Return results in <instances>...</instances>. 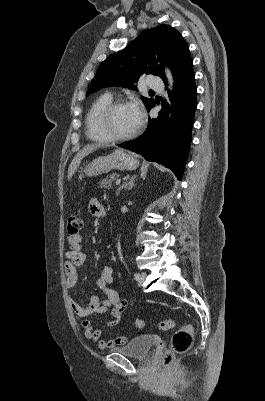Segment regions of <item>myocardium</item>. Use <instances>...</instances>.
I'll use <instances>...</instances> for the list:
<instances>
[{"label":"myocardium","instance_id":"1","mask_svg":"<svg viewBox=\"0 0 265 401\" xmlns=\"http://www.w3.org/2000/svg\"><path fill=\"white\" fill-rule=\"evenodd\" d=\"M130 103L127 100L119 99L112 100L109 104H107L98 114L96 119V127L98 132L104 137L105 141L114 142V141H124L132 138L138 132L140 123L136 126V128L126 134V135H113L109 132L107 127V120L109 116L120 106L129 105Z\"/></svg>","mask_w":265,"mask_h":401}]
</instances>
